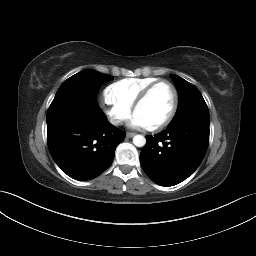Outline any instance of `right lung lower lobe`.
<instances>
[{"label":"right lung lower lobe","mask_w":256,"mask_h":256,"mask_svg":"<svg viewBox=\"0 0 256 256\" xmlns=\"http://www.w3.org/2000/svg\"><path fill=\"white\" fill-rule=\"evenodd\" d=\"M80 106L47 113V142L60 169L76 180H91L112 163L115 149L126 134L108 122L91 86Z\"/></svg>","instance_id":"obj_1"}]
</instances>
